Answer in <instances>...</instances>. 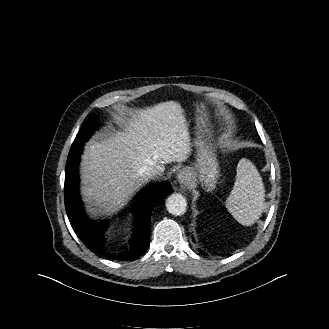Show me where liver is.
<instances>
[{
	"mask_svg": "<svg viewBox=\"0 0 329 329\" xmlns=\"http://www.w3.org/2000/svg\"><path fill=\"white\" fill-rule=\"evenodd\" d=\"M120 118L123 131L85 146L81 162L85 200L92 213L114 212L146 183L145 166L183 162L191 154L185 111L178 102L167 101L129 112Z\"/></svg>",
	"mask_w": 329,
	"mask_h": 329,
	"instance_id": "6515ba94",
	"label": "liver"
}]
</instances>
